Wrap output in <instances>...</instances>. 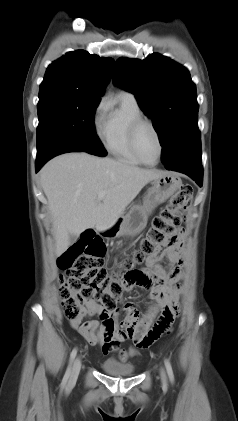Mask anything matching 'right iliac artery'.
I'll use <instances>...</instances> for the list:
<instances>
[{"label":"right iliac artery","instance_id":"right-iliac-artery-1","mask_svg":"<svg viewBox=\"0 0 238 421\" xmlns=\"http://www.w3.org/2000/svg\"><path fill=\"white\" fill-rule=\"evenodd\" d=\"M76 354H77V349H76V348H74V349L72 350L71 354H70V362H69V366H68V368H67V370H66V372H65V375H64V377H63V380H62V385H63V386L67 383V381H68V379H69V376H70V373H71V366H72V363H73V361H74V359H75V357H76Z\"/></svg>","mask_w":238,"mask_h":421}]
</instances>
